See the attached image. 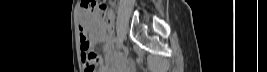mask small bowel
Wrapping results in <instances>:
<instances>
[{
	"label": "small bowel",
	"instance_id": "c3829d8e",
	"mask_svg": "<svg viewBox=\"0 0 267 72\" xmlns=\"http://www.w3.org/2000/svg\"><path fill=\"white\" fill-rule=\"evenodd\" d=\"M108 22V27H105V21L100 20V19H93L90 20V24L96 27V37L98 39H101L104 41V47H103V52L106 55L107 58L111 56L112 52V40L110 36V32L112 31L113 27V15L109 14V20ZM85 30L82 31L81 33V41L86 40V34ZM81 57L83 64L86 63V51H83L81 49ZM100 57V56H99ZM100 65H101V71H107L109 69L108 64H106L103 59L100 57Z\"/></svg>",
	"mask_w": 267,
	"mask_h": 72
}]
</instances>
